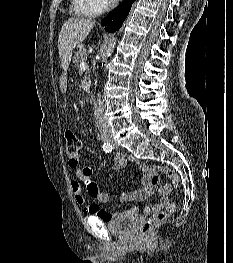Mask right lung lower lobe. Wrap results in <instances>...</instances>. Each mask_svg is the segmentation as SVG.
Listing matches in <instances>:
<instances>
[{"label":"right lung lower lobe","instance_id":"98d812e1","mask_svg":"<svg viewBox=\"0 0 233 263\" xmlns=\"http://www.w3.org/2000/svg\"><path fill=\"white\" fill-rule=\"evenodd\" d=\"M134 0H124L118 7L112 10L106 18L102 20V25H107L106 31L115 32L128 16ZM113 19V22L111 23ZM111 23V25H109Z\"/></svg>","mask_w":233,"mask_h":263}]
</instances>
